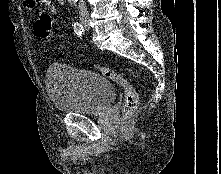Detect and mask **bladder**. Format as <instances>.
<instances>
[{
	"label": "bladder",
	"mask_w": 221,
	"mask_h": 174,
	"mask_svg": "<svg viewBox=\"0 0 221 174\" xmlns=\"http://www.w3.org/2000/svg\"><path fill=\"white\" fill-rule=\"evenodd\" d=\"M45 84L50 101L63 112L98 114L115 99L114 87L105 76L64 63L49 66Z\"/></svg>",
	"instance_id": "bladder-1"
}]
</instances>
